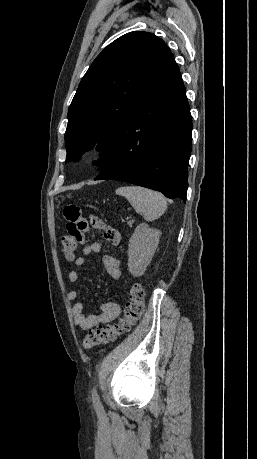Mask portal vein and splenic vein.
<instances>
[{"instance_id": "portal-vein-and-splenic-vein-1", "label": "portal vein and splenic vein", "mask_w": 257, "mask_h": 459, "mask_svg": "<svg viewBox=\"0 0 257 459\" xmlns=\"http://www.w3.org/2000/svg\"><path fill=\"white\" fill-rule=\"evenodd\" d=\"M128 224H130V225H131V224H132V222H131V221H129V222H128Z\"/></svg>"}]
</instances>
